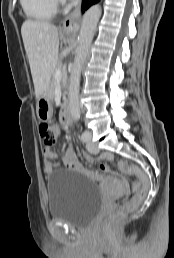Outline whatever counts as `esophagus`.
I'll use <instances>...</instances> for the list:
<instances>
[{
    "instance_id": "1",
    "label": "esophagus",
    "mask_w": 174,
    "mask_h": 258,
    "mask_svg": "<svg viewBox=\"0 0 174 258\" xmlns=\"http://www.w3.org/2000/svg\"><path fill=\"white\" fill-rule=\"evenodd\" d=\"M81 6L78 5L68 14L62 24L61 30L64 33H77L80 28Z\"/></svg>"
}]
</instances>
